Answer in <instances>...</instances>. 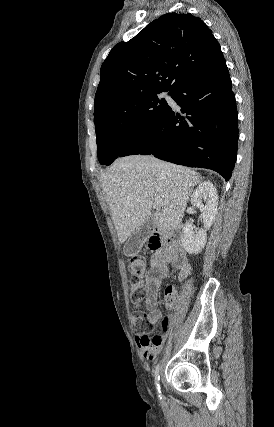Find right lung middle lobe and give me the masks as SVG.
I'll return each instance as SVG.
<instances>
[{
	"label": "right lung middle lobe",
	"instance_id": "obj_1",
	"mask_svg": "<svg viewBox=\"0 0 274 427\" xmlns=\"http://www.w3.org/2000/svg\"><path fill=\"white\" fill-rule=\"evenodd\" d=\"M158 94L129 97L94 117L97 155L102 165H110L125 148L146 136L164 117L169 105Z\"/></svg>",
	"mask_w": 274,
	"mask_h": 427
}]
</instances>
